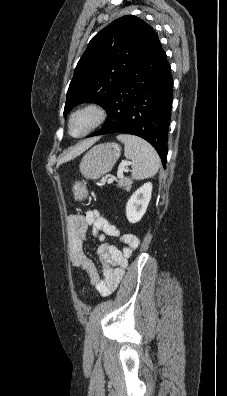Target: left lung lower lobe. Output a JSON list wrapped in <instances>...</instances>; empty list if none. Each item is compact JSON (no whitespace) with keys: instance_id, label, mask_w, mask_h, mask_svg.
<instances>
[{"instance_id":"0a47b994","label":"left lung lower lobe","mask_w":227,"mask_h":396,"mask_svg":"<svg viewBox=\"0 0 227 396\" xmlns=\"http://www.w3.org/2000/svg\"><path fill=\"white\" fill-rule=\"evenodd\" d=\"M173 79L159 42L128 73L104 107V126L89 137L128 133L148 141L166 166Z\"/></svg>"}]
</instances>
